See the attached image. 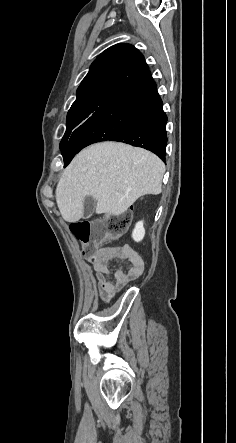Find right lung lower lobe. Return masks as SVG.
Returning a JSON list of instances; mask_svg holds the SVG:
<instances>
[{"instance_id": "obj_1", "label": "right lung lower lobe", "mask_w": 236, "mask_h": 443, "mask_svg": "<svg viewBox=\"0 0 236 443\" xmlns=\"http://www.w3.org/2000/svg\"><path fill=\"white\" fill-rule=\"evenodd\" d=\"M167 116L150 71L130 87L110 95L78 127L66 150L64 166L85 146L118 141L152 151L165 161Z\"/></svg>"}]
</instances>
